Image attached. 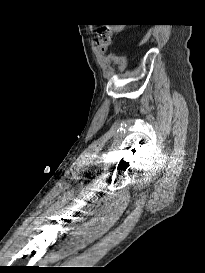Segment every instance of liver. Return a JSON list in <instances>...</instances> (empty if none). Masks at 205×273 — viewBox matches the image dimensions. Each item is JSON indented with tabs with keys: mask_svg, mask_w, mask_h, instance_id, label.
<instances>
[{
	"mask_svg": "<svg viewBox=\"0 0 205 273\" xmlns=\"http://www.w3.org/2000/svg\"><path fill=\"white\" fill-rule=\"evenodd\" d=\"M110 29L116 32H119L122 30V26L121 25H111Z\"/></svg>",
	"mask_w": 205,
	"mask_h": 273,
	"instance_id": "obj_1",
	"label": "liver"
}]
</instances>
